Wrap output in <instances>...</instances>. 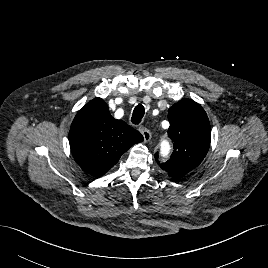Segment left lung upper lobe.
<instances>
[{"instance_id": "1", "label": "left lung upper lobe", "mask_w": 268, "mask_h": 268, "mask_svg": "<svg viewBox=\"0 0 268 268\" xmlns=\"http://www.w3.org/2000/svg\"><path fill=\"white\" fill-rule=\"evenodd\" d=\"M168 120V136L174 143V151L168 161L158 165L170 177L178 178L195 169L206 156L211 128L206 112L190 99H182L170 107Z\"/></svg>"}]
</instances>
